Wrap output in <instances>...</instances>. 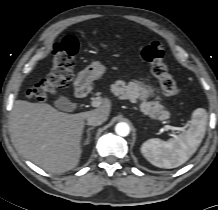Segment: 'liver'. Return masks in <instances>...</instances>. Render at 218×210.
Segmentation results:
<instances>
[{"mask_svg":"<svg viewBox=\"0 0 218 210\" xmlns=\"http://www.w3.org/2000/svg\"><path fill=\"white\" fill-rule=\"evenodd\" d=\"M111 103L77 114L60 112L45 103L16 100L11 112L14 138L25 156L50 173H64L80 161L85 120L92 114L108 119Z\"/></svg>","mask_w":218,"mask_h":210,"instance_id":"6515ba94","label":"liver"}]
</instances>
